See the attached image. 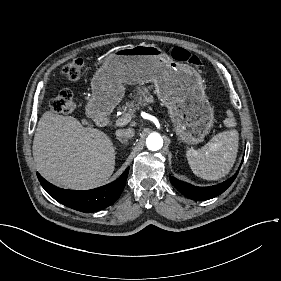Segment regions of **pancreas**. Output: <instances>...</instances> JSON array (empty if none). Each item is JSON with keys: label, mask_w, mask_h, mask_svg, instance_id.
Masks as SVG:
<instances>
[{"label": "pancreas", "mask_w": 281, "mask_h": 281, "mask_svg": "<svg viewBox=\"0 0 281 281\" xmlns=\"http://www.w3.org/2000/svg\"><path fill=\"white\" fill-rule=\"evenodd\" d=\"M151 88L152 86H137L133 91L134 94H130V97L133 98V100L126 103V106L123 107V113H128L131 109L138 110L140 107L146 106L148 103H152L154 99L149 92Z\"/></svg>", "instance_id": "cf45deb5"}]
</instances>
